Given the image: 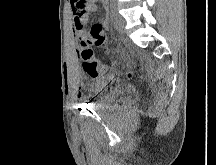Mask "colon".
I'll list each match as a JSON object with an SVG mask.
<instances>
[{
	"label": "colon",
	"instance_id": "obj_1",
	"mask_svg": "<svg viewBox=\"0 0 216 165\" xmlns=\"http://www.w3.org/2000/svg\"><path fill=\"white\" fill-rule=\"evenodd\" d=\"M72 6L75 8V5H86V0H71ZM106 42V34L103 26L100 23H95L92 25L87 41L81 44L80 49V58L85 65V68L90 72H94L96 74H101L106 70V65L100 63L94 58V52L92 49V45L95 46H104ZM133 77L132 73H128V78L131 79Z\"/></svg>",
	"mask_w": 216,
	"mask_h": 165
}]
</instances>
